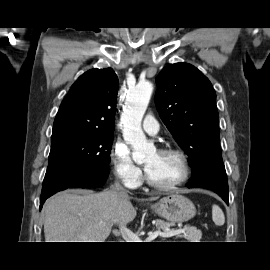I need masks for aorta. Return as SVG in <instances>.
<instances>
[{"instance_id":"aorta-1","label":"aorta","mask_w":270,"mask_h":270,"mask_svg":"<svg viewBox=\"0 0 270 270\" xmlns=\"http://www.w3.org/2000/svg\"><path fill=\"white\" fill-rule=\"evenodd\" d=\"M153 92V85L149 81L139 82L129 91L125 108L121 114L124 140L133 148L132 157L135 161H142L146 156L155 152V147L149 143L142 130L141 122Z\"/></svg>"}]
</instances>
